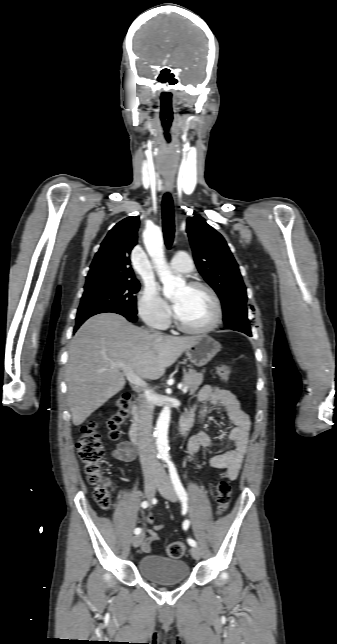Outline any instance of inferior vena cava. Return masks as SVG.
<instances>
[{
    "instance_id": "602c4592",
    "label": "inferior vena cava",
    "mask_w": 337,
    "mask_h": 644,
    "mask_svg": "<svg viewBox=\"0 0 337 644\" xmlns=\"http://www.w3.org/2000/svg\"><path fill=\"white\" fill-rule=\"evenodd\" d=\"M157 335H160L157 333ZM151 393L141 401L140 420L138 427V449L144 474H162L164 470L156 459V449L152 434L154 405L150 399Z\"/></svg>"
}]
</instances>
